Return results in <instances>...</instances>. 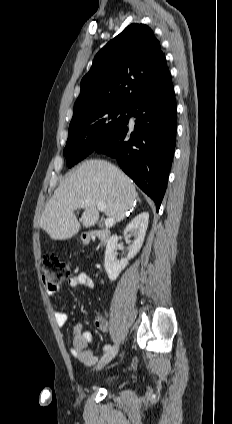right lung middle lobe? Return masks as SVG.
Segmentation results:
<instances>
[{
  "mask_svg": "<svg viewBox=\"0 0 232 424\" xmlns=\"http://www.w3.org/2000/svg\"><path fill=\"white\" fill-rule=\"evenodd\" d=\"M131 106L107 105L89 108L74 116L63 151L70 168L91 154L129 120Z\"/></svg>",
  "mask_w": 232,
  "mask_h": 424,
  "instance_id": "obj_1",
  "label": "right lung middle lobe"
}]
</instances>
